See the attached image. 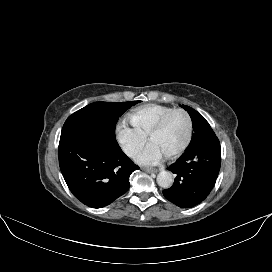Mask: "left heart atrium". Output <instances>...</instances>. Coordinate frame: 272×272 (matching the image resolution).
Here are the masks:
<instances>
[{
    "label": "left heart atrium",
    "mask_w": 272,
    "mask_h": 272,
    "mask_svg": "<svg viewBox=\"0 0 272 272\" xmlns=\"http://www.w3.org/2000/svg\"><path fill=\"white\" fill-rule=\"evenodd\" d=\"M164 156L165 155L160 148L150 141L137 155L136 159L141 164L154 165L159 163Z\"/></svg>",
    "instance_id": "39dd6f15"
}]
</instances>
